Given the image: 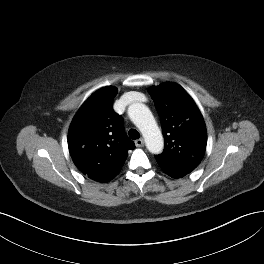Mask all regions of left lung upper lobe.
Instances as JSON below:
<instances>
[{"label": "left lung upper lobe", "instance_id": "1", "mask_svg": "<svg viewBox=\"0 0 264 264\" xmlns=\"http://www.w3.org/2000/svg\"><path fill=\"white\" fill-rule=\"evenodd\" d=\"M162 120L165 148L155 158L161 168L193 171L201 162L207 131L201 112L188 93L175 83L150 88Z\"/></svg>", "mask_w": 264, "mask_h": 264}]
</instances>
